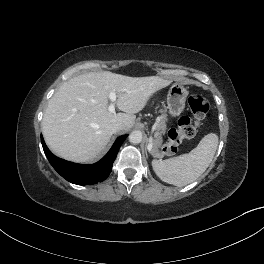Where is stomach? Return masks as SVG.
<instances>
[{"label": "stomach", "mask_w": 264, "mask_h": 264, "mask_svg": "<svg viewBox=\"0 0 264 264\" xmlns=\"http://www.w3.org/2000/svg\"><path fill=\"white\" fill-rule=\"evenodd\" d=\"M187 96V89L180 83L176 82L171 86L167 95V108L172 116H178L181 114L185 108Z\"/></svg>", "instance_id": "1"}]
</instances>
